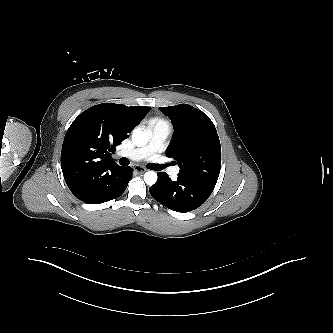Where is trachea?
<instances>
[{
    "instance_id": "3493384b",
    "label": "trachea",
    "mask_w": 333,
    "mask_h": 333,
    "mask_svg": "<svg viewBox=\"0 0 333 333\" xmlns=\"http://www.w3.org/2000/svg\"><path fill=\"white\" fill-rule=\"evenodd\" d=\"M129 160L127 159V158H121L120 160H119V164L120 165H122V166H127V165H129ZM168 165H161V164H152L151 165V168L153 169V170H162V169H164V168H166Z\"/></svg>"
}]
</instances>
